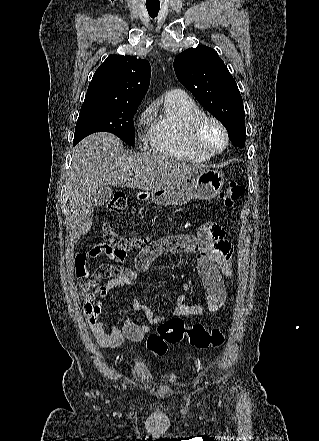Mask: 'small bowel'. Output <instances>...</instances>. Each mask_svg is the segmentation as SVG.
Masks as SVG:
<instances>
[{
  "instance_id": "1",
  "label": "small bowel",
  "mask_w": 319,
  "mask_h": 441,
  "mask_svg": "<svg viewBox=\"0 0 319 441\" xmlns=\"http://www.w3.org/2000/svg\"><path fill=\"white\" fill-rule=\"evenodd\" d=\"M103 246H97L88 252L76 256L77 268L86 266L90 259L96 257ZM165 252L193 253L197 258V272L207 293L205 305L188 304L185 296L177 298L174 314L177 317H193L206 313H215L226 300V287L223 275L232 278L233 247L226 239L225 229L217 223H206L197 235L180 234L161 238L144 247L136 256L134 267L121 265H101L89 275L88 287L78 285V299L90 330L101 347L113 348L121 346L126 340L140 342L151 331L149 325L136 316L128 317L120 329L116 320L109 331L104 328V309L106 300L112 299L119 288L134 286L138 274L149 270L156 258ZM106 280L105 283H102ZM184 291H189L188 282L182 284ZM132 309L143 311L149 324H158L167 318L155 315L153 310L138 299H133Z\"/></svg>"
}]
</instances>
